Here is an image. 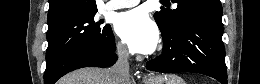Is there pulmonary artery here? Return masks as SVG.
I'll use <instances>...</instances> for the list:
<instances>
[{"instance_id": "1", "label": "pulmonary artery", "mask_w": 260, "mask_h": 84, "mask_svg": "<svg viewBox=\"0 0 260 84\" xmlns=\"http://www.w3.org/2000/svg\"><path fill=\"white\" fill-rule=\"evenodd\" d=\"M139 3L138 0H112L103 6L104 10H117L121 8H129Z\"/></svg>"}]
</instances>
